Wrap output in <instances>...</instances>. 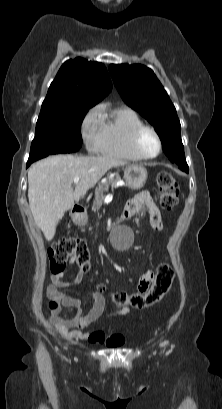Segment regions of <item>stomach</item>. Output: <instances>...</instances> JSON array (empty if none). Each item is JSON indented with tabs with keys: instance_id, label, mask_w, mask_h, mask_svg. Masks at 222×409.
Returning a JSON list of instances; mask_svg holds the SVG:
<instances>
[{
	"instance_id": "obj_1",
	"label": "stomach",
	"mask_w": 222,
	"mask_h": 409,
	"mask_svg": "<svg viewBox=\"0 0 222 409\" xmlns=\"http://www.w3.org/2000/svg\"><path fill=\"white\" fill-rule=\"evenodd\" d=\"M148 177L147 170L141 165H130L125 168L124 180L127 186L133 190L140 189L146 182ZM72 221L78 226H84L88 222L87 213L78 212L72 214Z\"/></svg>"
}]
</instances>
